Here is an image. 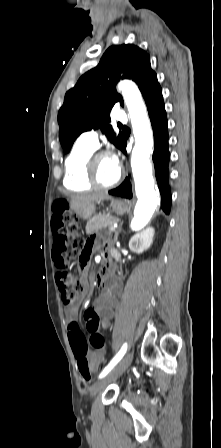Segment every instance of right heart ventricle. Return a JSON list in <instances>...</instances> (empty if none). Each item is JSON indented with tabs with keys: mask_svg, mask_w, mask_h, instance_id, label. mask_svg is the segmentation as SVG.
I'll return each mask as SVG.
<instances>
[{
	"mask_svg": "<svg viewBox=\"0 0 221 448\" xmlns=\"http://www.w3.org/2000/svg\"><path fill=\"white\" fill-rule=\"evenodd\" d=\"M95 150L79 141L73 146L66 157L64 165L63 184L67 189L73 191L90 190L93 185L86 177V161L89 155Z\"/></svg>",
	"mask_w": 221,
	"mask_h": 448,
	"instance_id": "1",
	"label": "right heart ventricle"
}]
</instances>
